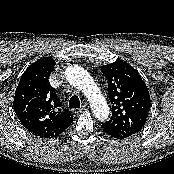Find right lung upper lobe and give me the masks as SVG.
Masks as SVG:
<instances>
[{
  "label": "right lung upper lobe",
  "mask_w": 174,
  "mask_h": 174,
  "mask_svg": "<svg viewBox=\"0 0 174 174\" xmlns=\"http://www.w3.org/2000/svg\"><path fill=\"white\" fill-rule=\"evenodd\" d=\"M55 60L38 59L21 76L13 107L21 124L40 138L59 136L73 122L71 112L62 110L55 89L49 83Z\"/></svg>",
  "instance_id": "obj_1"
}]
</instances>
